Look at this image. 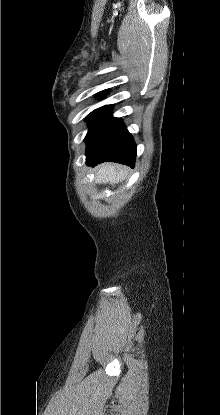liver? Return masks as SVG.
<instances>
[{
  "mask_svg": "<svg viewBox=\"0 0 220 415\" xmlns=\"http://www.w3.org/2000/svg\"><path fill=\"white\" fill-rule=\"evenodd\" d=\"M126 168H122L113 163L102 164L96 172V182L98 183H118L124 179Z\"/></svg>",
  "mask_w": 220,
  "mask_h": 415,
  "instance_id": "obj_1",
  "label": "liver"
}]
</instances>
